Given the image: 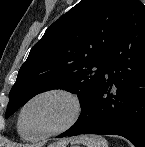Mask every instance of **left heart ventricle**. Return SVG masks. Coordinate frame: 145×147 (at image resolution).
Segmentation results:
<instances>
[{
    "label": "left heart ventricle",
    "mask_w": 145,
    "mask_h": 147,
    "mask_svg": "<svg viewBox=\"0 0 145 147\" xmlns=\"http://www.w3.org/2000/svg\"><path fill=\"white\" fill-rule=\"evenodd\" d=\"M72 106L60 96H48L32 103L23 117V129L38 134L62 126L71 116Z\"/></svg>",
    "instance_id": "left-heart-ventricle-1"
}]
</instances>
